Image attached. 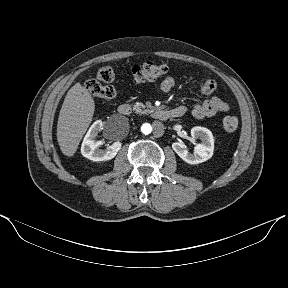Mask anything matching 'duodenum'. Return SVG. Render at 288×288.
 <instances>
[{"mask_svg":"<svg viewBox=\"0 0 288 288\" xmlns=\"http://www.w3.org/2000/svg\"><path fill=\"white\" fill-rule=\"evenodd\" d=\"M118 111L120 114L124 116H128L131 113V107L127 103H123L119 105ZM183 115L182 110L180 109H156L153 113L152 116L160 121H165L170 118H177Z\"/></svg>","mask_w":288,"mask_h":288,"instance_id":"duodenum-1","label":"duodenum"}]
</instances>
